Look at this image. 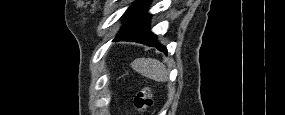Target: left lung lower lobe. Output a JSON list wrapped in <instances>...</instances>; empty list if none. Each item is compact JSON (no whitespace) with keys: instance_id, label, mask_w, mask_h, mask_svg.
<instances>
[{"instance_id":"obj_1","label":"left lung lower lobe","mask_w":285,"mask_h":115,"mask_svg":"<svg viewBox=\"0 0 285 115\" xmlns=\"http://www.w3.org/2000/svg\"><path fill=\"white\" fill-rule=\"evenodd\" d=\"M150 0H137L122 16L124 26L115 37V41H133L154 46L160 51L167 53V49L158 43L156 36L150 32L149 23L151 15L146 13Z\"/></svg>"}]
</instances>
